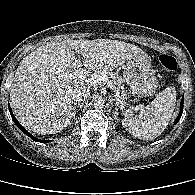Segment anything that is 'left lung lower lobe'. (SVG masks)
<instances>
[{"label": "left lung lower lobe", "mask_w": 195, "mask_h": 195, "mask_svg": "<svg viewBox=\"0 0 195 195\" xmlns=\"http://www.w3.org/2000/svg\"><path fill=\"white\" fill-rule=\"evenodd\" d=\"M183 104H184V96L181 100V103H180V113L178 115V117L175 119V124L180 120L181 116H182V112H183Z\"/></svg>", "instance_id": "0a47b994"}]
</instances>
